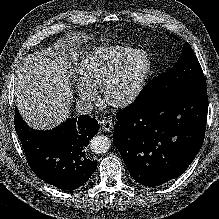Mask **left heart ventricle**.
I'll list each match as a JSON object with an SVG mask.
<instances>
[{
  "mask_svg": "<svg viewBox=\"0 0 219 219\" xmlns=\"http://www.w3.org/2000/svg\"><path fill=\"white\" fill-rule=\"evenodd\" d=\"M148 66L146 56H137L127 62L120 70L110 89V98L122 99L138 85Z\"/></svg>",
  "mask_w": 219,
  "mask_h": 219,
  "instance_id": "1",
  "label": "left heart ventricle"
}]
</instances>
